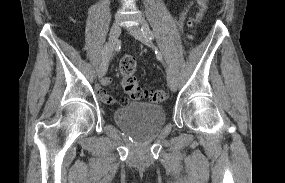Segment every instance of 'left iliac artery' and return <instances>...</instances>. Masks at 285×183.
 Wrapping results in <instances>:
<instances>
[{"label":"left iliac artery","instance_id":"obj_1","mask_svg":"<svg viewBox=\"0 0 285 183\" xmlns=\"http://www.w3.org/2000/svg\"><path fill=\"white\" fill-rule=\"evenodd\" d=\"M141 30H142V32L144 33V35L146 36V38L148 40H153L154 39V34H153V32L151 31V29L149 28L148 24L145 21L142 22ZM158 55L161 56L160 53H158Z\"/></svg>","mask_w":285,"mask_h":183}]
</instances>
